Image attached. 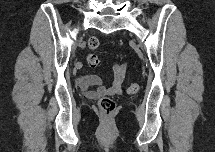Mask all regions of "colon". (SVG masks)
<instances>
[{
	"label": "colon",
	"instance_id": "obj_1",
	"mask_svg": "<svg viewBox=\"0 0 215 152\" xmlns=\"http://www.w3.org/2000/svg\"><path fill=\"white\" fill-rule=\"evenodd\" d=\"M99 40L96 37H91L88 40V47L91 50H95L99 47ZM87 63L90 67H97L100 60L97 55L89 54L87 56ZM126 91L128 94H135L139 91V84L137 82H131L127 85ZM98 107L100 111L105 115H110L115 111L116 104L114 100L110 97H102L98 102Z\"/></svg>",
	"mask_w": 215,
	"mask_h": 152
}]
</instances>
